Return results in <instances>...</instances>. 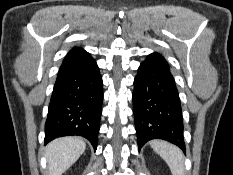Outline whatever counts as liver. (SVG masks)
<instances>
[{"instance_id":"6515ba94","label":"liver","mask_w":233,"mask_h":175,"mask_svg":"<svg viewBox=\"0 0 233 175\" xmlns=\"http://www.w3.org/2000/svg\"><path fill=\"white\" fill-rule=\"evenodd\" d=\"M86 144L81 137H61L46 147L49 175H62L85 151Z\"/></svg>"}]
</instances>
